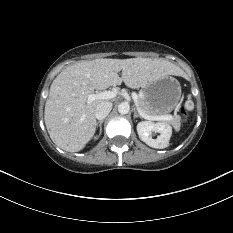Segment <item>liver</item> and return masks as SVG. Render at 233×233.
<instances>
[{
  "instance_id": "6515ba94",
  "label": "liver",
  "mask_w": 233,
  "mask_h": 233,
  "mask_svg": "<svg viewBox=\"0 0 233 233\" xmlns=\"http://www.w3.org/2000/svg\"><path fill=\"white\" fill-rule=\"evenodd\" d=\"M122 71V77L118 73ZM182 70L164 59L101 58L66 67L52 82L45 103L44 120L52 141L68 152H78L96 131V106L104 100L87 102L94 90H105L122 82L130 88H144Z\"/></svg>"
}]
</instances>
